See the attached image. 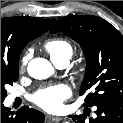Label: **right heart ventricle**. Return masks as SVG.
<instances>
[{"mask_svg":"<svg viewBox=\"0 0 123 123\" xmlns=\"http://www.w3.org/2000/svg\"><path fill=\"white\" fill-rule=\"evenodd\" d=\"M45 50L50 55L52 61L56 64L62 60H68L71 58L73 48L71 44L61 38H55L45 43Z\"/></svg>","mask_w":123,"mask_h":123,"instance_id":"1","label":"right heart ventricle"}]
</instances>
